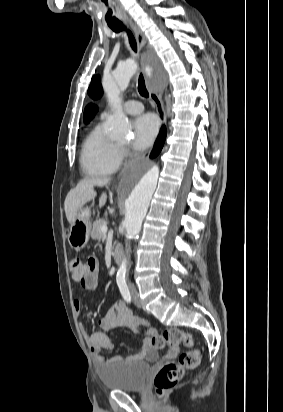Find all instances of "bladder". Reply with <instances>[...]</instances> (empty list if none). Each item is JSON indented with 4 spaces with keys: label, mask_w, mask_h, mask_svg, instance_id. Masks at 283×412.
<instances>
[{
    "label": "bladder",
    "mask_w": 283,
    "mask_h": 412,
    "mask_svg": "<svg viewBox=\"0 0 283 412\" xmlns=\"http://www.w3.org/2000/svg\"><path fill=\"white\" fill-rule=\"evenodd\" d=\"M149 369L145 362L123 361L107 367L99 378L108 389L135 392L146 386Z\"/></svg>",
    "instance_id": "bladder-1"
}]
</instances>
